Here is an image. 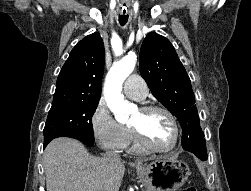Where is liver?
I'll return each instance as SVG.
<instances>
[{"instance_id":"liver-1","label":"liver","mask_w":251,"mask_h":191,"mask_svg":"<svg viewBox=\"0 0 251 191\" xmlns=\"http://www.w3.org/2000/svg\"><path fill=\"white\" fill-rule=\"evenodd\" d=\"M47 191H119L121 161L94 157L81 141L56 137L44 151Z\"/></svg>"}]
</instances>
